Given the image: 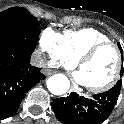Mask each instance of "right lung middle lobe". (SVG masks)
I'll return each mask as SVG.
<instances>
[{
    "label": "right lung middle lobe",
    "instance_id": "dd1d6c3e",
    "mask_svg": "<svg viewBox=\"0 0 124 124\" xmlns=\"http://www.w3.org/2000/svg\"><path fill=\"white\" fill-rule=\"evenodd\" d=\"M40 22L25 8L12 7L0 12V31L17 32L37 29Z\"/></svg>",
    "mask_w": 124,
    "mask_h": 124
}]
</instances>
